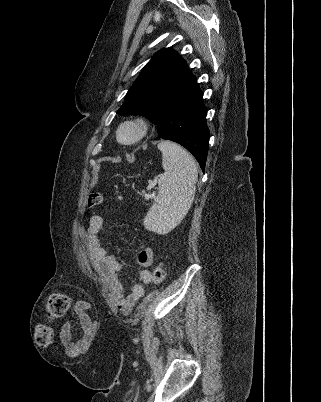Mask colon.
<instances>
[{
  "label": "colon",
  "instance_id": "5ec220e1",
  "mask_svg": "<svg viewBox=\"0 0 321 402\" xmlns=\"http://www.w3.org/2000/svg\"><path fill=\"white\" fill-rule=\"evenodd\" d=\"M104 201V196L101 193H92L87 200L89 209L101 205ZM166 273L163 266L158 265L152 271V280L160 284L165 280ZM72 299L67 293H54L50 295L46 313L49 319L63 317L70 309ZM35 340L39 346H48L53 340V329L47 323H40L35 328Z\"/></svg>",
  "mask_w": 321,
  "mask_h": 402
}]
</instances>
